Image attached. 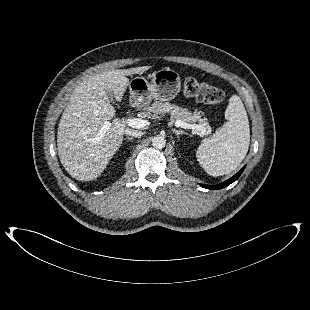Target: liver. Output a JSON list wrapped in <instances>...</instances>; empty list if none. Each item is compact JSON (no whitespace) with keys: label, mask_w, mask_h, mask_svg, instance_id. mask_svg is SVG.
Listing matches in <instances>:
<instances>
[{"label":"liver","mask_w":310,"mask_h":310,"mask_svg":"<svg viewBox=\"0 0 310 310\" xmlns=\"http://www.w3.org/2000/svg\"><path fill=\"white\" fill-rule=\"evenodd\" d=\"M149 67L104 71L82 81L72 92L58 125L57 150L65 170L80 181L100 176L120 148L126 128L124 121L113 119L115 109L106 94L120 101L129 85L126 77L142 74ZM113 119L112 122L110 120ZM109 129L97 138L101 128Z\"/></svg>","instance_id":"1"}]
</instances>
